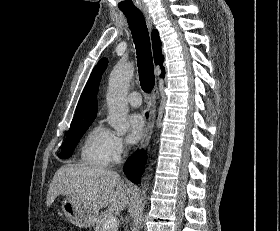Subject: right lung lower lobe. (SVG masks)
<instances>
[{
  "mask_svg": "<svg viewBox=\"0 0 280 231\" xmlns=\"http://www.w3.org/2000/svg\"><path fill=\"white\" fill-rule=\"evenodd\" d=\"M146 163L145 153L143 151L135 152L124 165V172L129 180L138 184L140 176L143 173Z\"/></svg>",
  "mask_w": 280,
  "mask_h": 231,
  "instance_id": "1",
  "label": "right lung lower lobe"
}]
</instances>
